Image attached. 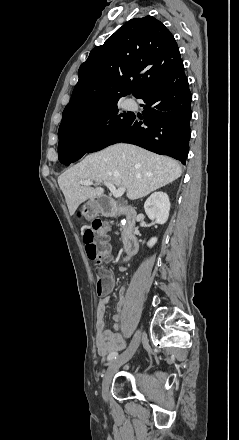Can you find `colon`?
<instances>
[{
	"mask_svg": "<svg viewBox=\"0 0 239 440\" xmlns=\"http://www.w3.org/2000/svg\"><path fill=\"white\" fill-rule=\"evenodd\" d=\"M107 229L108 226L105 222L95 219L92 226L86 229L83 234L87 257L99 266L109 261L111 245L108 240ZM108 285V271L104 268H99L97 272L98 294L106 292Z\"/></svg>",
	"mask_w": 239,
	"mask_h": 440,
	"instance_id": "obj_1",
	"label": "colon"
}]
</instances>
